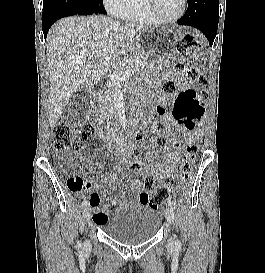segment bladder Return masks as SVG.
<instances>
[{"label": "bladder", "instance_id": "obj_1", "mask_svg": "<svg viewBox=\"0 0 265 273\" xmlns=\"http://www.w3.org/2000/svg\"><path fill=\"white\" fill-rule=\"evenodd\" d=\"M161 221L162 217L155 208L141 202L115 212L101 227L112 240L134 246L154 238Z\"/></svg>", "mask_w": 265, "mask_h": 273}]
</instances>
